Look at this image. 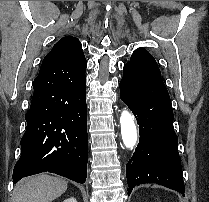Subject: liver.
I'll list each match as a JSON object with an SVG mask.
<instances>
[{"mask_svg": "<svg viewBox=\"0 0 209 202\" xmlns=\"http://www.w3.org/2000/svg\"><path fill=\"white\" fill-rule=\"evenodd\" d=\"M67 190L61 177L41 174L20 181L13 191L12 202H51Z\"/></svg>", "mask_w": 209, "mask_h": 202, "instance_id": "liver-1", "label": "liver"}]
</instances>
